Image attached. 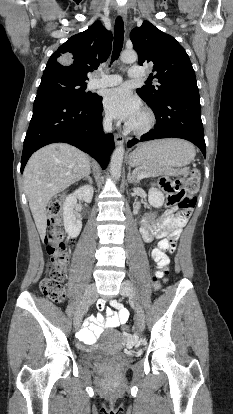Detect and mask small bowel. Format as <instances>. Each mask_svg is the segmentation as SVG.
Listing matches in <instances>:
<instances>
[{"instance_id": "c3829d8e", "label": "small bowel", "mask_w": 233, "mask_h": 414, "mask_svg": "<svg viewBox=\"0 0 233 414\" xmlns=\"http://www.w3.org/2000/svg\"><path fill=\"white\" fill-rule=\"evenodd\" d=\"M186 219H180L173 215L172 210L167 211L160 221L151 222L144 220L140 232L145 242H151L159 239L158 247L152 250L158 251L160 255L154 258L156 269L154 275L161 278L164 274L165 267L169 264V258L165 253L169 245V239L177 237L184 226ZM112 308L105 306V300L99 299L92 302L93 308H98L100 313L86 320L85 326L79 331L78 337L81 343L92 345L96 337L106 328H117L125 324L129 319L128 310L117 300L110 302Z\"/></svg>"}]
</instances>
